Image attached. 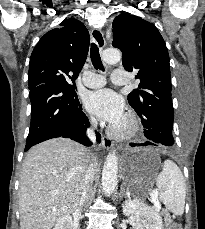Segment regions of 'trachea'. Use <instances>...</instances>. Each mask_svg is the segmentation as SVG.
<instances>
[{
	"label": "trachea",
	"mask_w": 205,
	"mask_h": 229,
	"mask_svg": "<svg viewBox=\"0 0 205 229\" xmlns=\"http://www.w3.org/2000/svg\"><path fill=\"white\" fill-rule=\"evenodd\" d=\"M90 57H91V61L95 69H100L104 71V67H103V64L100 58V54H99V49L95 43H92L91 45Z\"/></svg>",
	"instance_id": "3493384b"
}]
</instances>
